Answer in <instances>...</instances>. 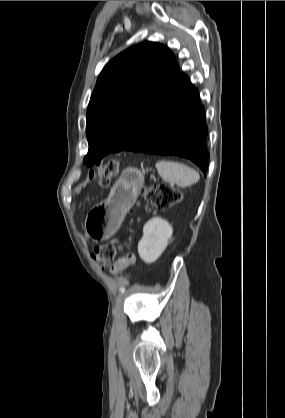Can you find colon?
<instances>
[{
	"instance_id": "1",
	"label": "colon",
	"mask_w": 285,
	"mask_h": 418,
	"mask_svg": "<svg viewBox=\"0 0 285 418\" xmlns=\"http://www.w3.org/2000/svg\"><path fill=\"white\" fill-rule=\"evenodd\" d=\"M118 171V163L109 161L103 167L90 171L91 181L97 180L101 186H108L111 178ZM142 197L155 208L168 209L177 205L181 199V192L167 184L159 183L147 186L141 190ZM117 247L111 243H104L97 246L92 252V259L100 266L104 267L106 263L115 259ZM133 254L128 255L118 266V270L126 269L133 262Z\"/></svg>"
}]
</instances>
